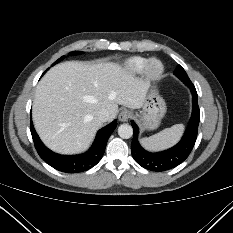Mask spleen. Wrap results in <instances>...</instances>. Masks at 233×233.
<instances>
[{
    "label": "spleen",
    "instance_id": "3e777b00",
    "mask_svg": "<svg viewBox=\"0 0 233 233\" xmlns=\"http://www.w3.org/2000/svg\"><path fill=\"white\" fill-rule=\"evenodd\" d=\"M184 132L183 124H176L150 137L141 138V145L149 151H159L176 144Z\"/></svg>",
    "mask_w": 233,
    "mask_h": 233
}]
</instances>
